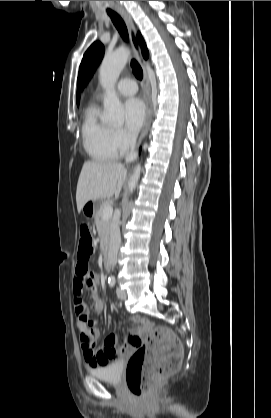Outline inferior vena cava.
I'll return each instance as SVG.
<instances>
[{"label":"inferior vena cava","instance_id":"1","mask_svg":"<svg viewBox=\"0 0 271 418\" xmlns=\"http://www.w3.org/2000/svg\"><path fill=\"white\" fill-rule=\"evenodd\" d=\"M138 134L134 133L130 136V148L131 152L126 157V163H130L137 158V153L135 152L136 140ZM121 243V236H120V228H119V220H115L112 224L111 233H110V241H109V257L111 259L112 265L116 264V258L118 249Z\"/></svg>","mask_w":271,"mask_h":418}]
</instances>
